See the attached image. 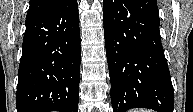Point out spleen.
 Listing matches in <instances>:
<instances>
[{
  "label": "spleen",
  "mask_w": 193,
  "mask_h": 112,
  "mask_svg": "<svg viewBox=\"0 0 193 112\" xmlns=\"http://www.w3.org/2000/svg\"><path fill=\"white\" fill-rule=\"evenodd\" d=\"M132 112H151L150 110H144V109H135L132 110Z\"/></svg>",
  "instance_id": "spleen-1"
}]
</instances>
